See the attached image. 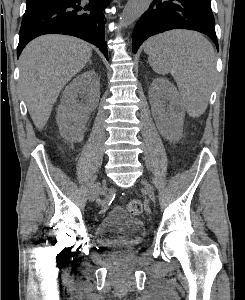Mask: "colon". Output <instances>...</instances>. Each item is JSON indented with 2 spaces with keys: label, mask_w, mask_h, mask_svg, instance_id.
<instances>
[{
  "label": "colon",
  "mask_w": 245,
  "mask_h": 300,
  "mask_svg": "<svg viewBox=\"0 0 245 300\" xmlns=\"http://www.w3.org/2000/svg\"><path fill=\"white\" fill-rule=\"evenodd\" d=\"M127 209L132 215H139L143 211L142 202L138 199H133L128 203Z\"/></svg>",
  "instance_id": "5ec220e1"
}]
</instances>
